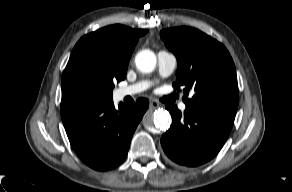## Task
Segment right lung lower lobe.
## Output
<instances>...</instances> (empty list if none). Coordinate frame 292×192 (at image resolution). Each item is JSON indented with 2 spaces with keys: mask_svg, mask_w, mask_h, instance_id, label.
Returning a JSON list of instances; mask_svg holds the SVG:
<instances>
[{
  "mask_svg": "<svg viewBox=\"0 0 292 192\" xmlns=\"http://www.w3.org/2000/svg\"><path fill=\"white\" fill-rule=\"evenodd\" d=\"M147 99L137 104L61 103V118L70 144L89 167L106 171L126 158L131 138L147 110Z\"/></svg>",
  "mask_w": 292,
  "mask_h": 192,
  "instance_id": "98d812e1",
  "label": "right lung lower lobe"
}]
</instances>
